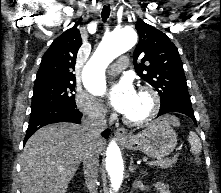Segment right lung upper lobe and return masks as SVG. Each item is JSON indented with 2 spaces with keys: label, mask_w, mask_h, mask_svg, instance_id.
Instances as JSON below:
<instances>
[{
  "label": "right lung upper lobe",
  "mask_w": 221,
  "mask_h": 193,
  "mask_svg": "<svg viewBox=\"0 0 221 193\" xmlns=\"http://www.w3.org/2000/svg\"><path fill=\"white\" fill-rule=\"evenodd\" d=\"M81 45L82 39L76 25L55 39L42 57L35 85L50 82H75L73 71Z\"/></svg>",
  "instance_id": "obj_1"
}]
</instances>
